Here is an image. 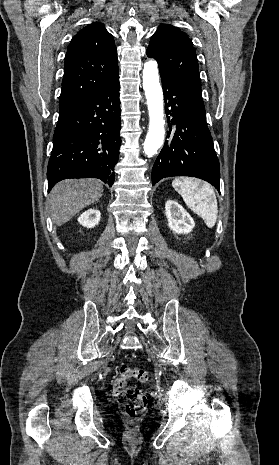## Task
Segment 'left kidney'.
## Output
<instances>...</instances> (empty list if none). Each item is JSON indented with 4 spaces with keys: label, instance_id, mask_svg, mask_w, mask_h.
<instances>
[{
    "label": "left kidney",
    "instance_id": "5707ae66",
    "mask_svg": "<svg viewBox=\"0 0 279 465\" xmlns=\"http://www.w3.org/2000/svg\"><path fill=\"white\" fill-rule=\"evenodd\" d=\"M165 214L169 228L176 234H188L195 226L190 214L175 200H167Z\"/></svg>",
    "mask_w": 279,
    "mask_h": 465
}]
</instances>
